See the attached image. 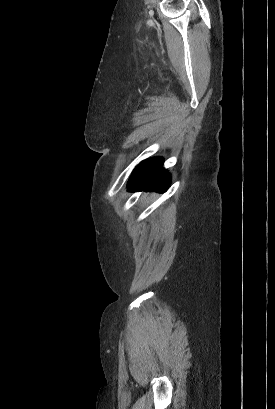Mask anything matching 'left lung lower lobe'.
I'll use <instances>...</instances> for the list:
<instances>
[{
  "label": "left lung lower lobe",
  "instance_id": "left-lung-lower-lobe-1",
  "mask_svg": "<svg viewBox=\"0 0 275 409\" xmlns=\"http://www.w3.org/2000/svg\"><path fill=\"white\" fill-rule=\"evenodd\" d=\"M170 178V174L163 168V159L161 157L150 158L137 165L127 187L129 191L164 192L169 187Z\"/></svg>",
  "mask_w": 275,
  "mask_h": 409
}]
</instances>
